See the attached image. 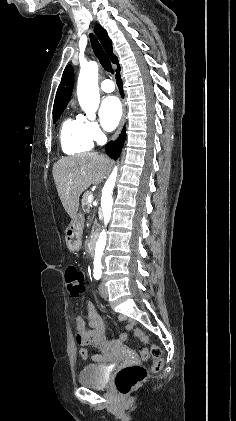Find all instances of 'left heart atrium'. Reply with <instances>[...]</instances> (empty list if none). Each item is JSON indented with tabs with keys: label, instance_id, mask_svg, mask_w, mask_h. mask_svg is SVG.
<instances>
[{
	"label": "left heart atrium",
	"instance_id": "left-heart-atrium-1",
	"mask_svg": "<svg viewBox=\"0 0 236 421\" xmlns=\"http://www.w3.org/2000/svg\"><path fill=\"white\" fill-rule=\"evenodd\" d=\"M101 122L105 130H114L120 122L122 107L116 96L105 97L100 107Z\"/></svg>",
	"mask_w": 236,
	"mask_h": 421
}]
</instances>
